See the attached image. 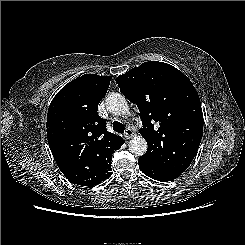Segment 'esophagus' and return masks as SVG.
<instances>
[{
	"label": "esophagus",
	"mask_w": 245,
	"mask_h": 245,
	"mask_svg": "<svg viewBox=\"0 0 245 245\" xmlns=\"http://www.w3.org/2000/svg\"><path fill=\"white\" fill-rule=\"evenodd\" d=\"M123 135H124V138L130 139L134 136V132L130 128H127Z\"/></svg>",
	"instance_id": "34e87169"
}]
</instances>
